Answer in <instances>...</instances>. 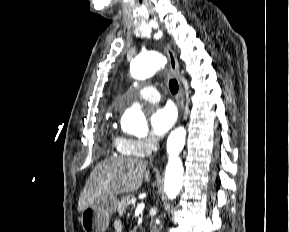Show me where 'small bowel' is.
Here are the masks:
<instances>
[{
  "label": "small bowel",
  "mask_w": 289,
  "mask_h": 232,
  "mask_svg": "<svg viewBox=\"0 0 289 232\" xmlns=\"http://www.w3.org/2000/svg\"><path fill=\"white\" fill-rule=\"evenodd\" d=\"M122 229H123V225H122V222L117 220L114 222V231L115 232H122Z\"/></svg>",
  "instance_id": "small-bowel-1"
}]
</instances>
